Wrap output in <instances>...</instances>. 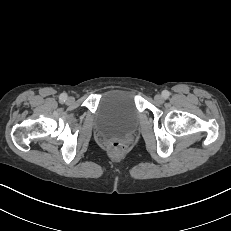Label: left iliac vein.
Returning <instances> with one entry per match:
<instances>
[{
	"label": "left iliac vein",
	"mask_w": 231,
	"mask_h": 231,
	"mask_svg": "<svg viewBox=\"0 0 231 231\" xmlns=\"http://www.w3.org/2000/svg\"><path fill=\"white\" fill-rule=\"evenodd\" d=\"M154 100H155L157 103H162L164 99H163V96H162V95L157 94V95H155Z\"/></svg>",
	"instance_id": "4c4485c4"
}]
</instances>
